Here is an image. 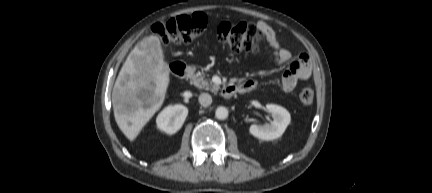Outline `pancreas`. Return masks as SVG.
Wrapping results in <instances>:
<instances>
[{"label": "pancreas", "instance_id": "pancreas-1", "mask_svg": "<svg viewBox=\"0 0 432 193\" xmlns=\"http://www.w3.org/2000/svg\"><path fill=\"white\" fill-rule=\"evenodd\" d=\"M192 82L200 89L211 90L212 92H216L219 89L218 85L208 82V79L205 78L203 72H198L194 75Z\"/></svg>", "mask_w": 432, "mask_h": 193}]
</instances>
